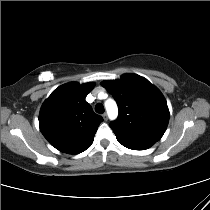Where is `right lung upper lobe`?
Returning a JSON list of instances; mask_svg holds the SVG:
<instances>
[{"label":"right lung upper lobe","instance_id":"right-lung-upper-lobe-1","mask_svg":"<svg viewBox=\"0 0 210 210\" xmlns=\"http://www.w3.org/2000/svg\"><path fill=\"white\" fill-rule=\"evenodd\" d=\"M93 83H67L58 87L43 103L39 126L44 137L59 151L78 154L93 142L102 117L85 101Z\"/></svg>","mask_w":210,"mask_h":210}]
</instances>
